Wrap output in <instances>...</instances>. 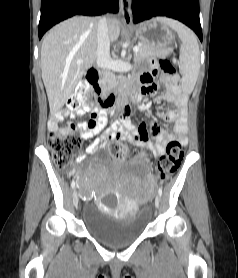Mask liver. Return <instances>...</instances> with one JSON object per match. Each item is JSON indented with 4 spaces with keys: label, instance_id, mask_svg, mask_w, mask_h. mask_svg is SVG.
Masks as SVG:
<instances>
[{
    "label": "liver",
    "instance_id": "1",
    "mask_svg": "<svg viewBox=\"0 0 238 278\" xmlns=\"http://www.w3.org/2000/svg\"><path fill=\"white\" fill-rule=\"evenodd\" d=\"M98 21L92 17H72L53 27L44 37L41 71L51 113L64 106L83 75L94 64ZM108 29L110 41L115 42L120 35V22L115 18L109 19Z\"/></svg>",
    "mask_w": 238,
    "mask_h": 278
}]
</instances>
